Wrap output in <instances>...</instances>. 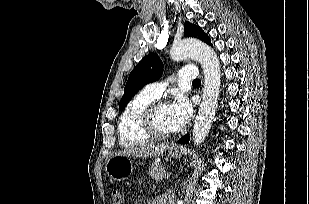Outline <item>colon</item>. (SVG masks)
<instances>
[{
  "mask_svg": "<svg viewBox=\"0 0 309 204\" xmlns=\"http://www.w3.org/2000/svg\"><path fill=\"white\" fill-rule=\"evenodd\" d=\"M111 199L113 204H122L123 194L119 190H113L111 193Z\"/></svg>",
  "mask_w": 309,
  "mask_h": 204,
  "instance_id": "1",
  "label": "colon"
}]
</instances>
